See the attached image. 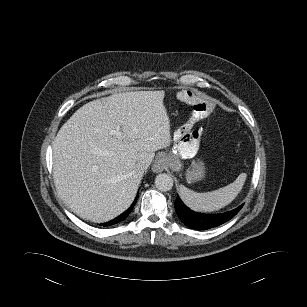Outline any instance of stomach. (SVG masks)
<instances>
[{
	"label": "stomach",
	"mask_w": 307,
	"mask_h": 307,
	"mask_svg": "<svg viewBox=\"0 0 307 307\" xmlns=\"http://www.w3.org/2000/svg\"><path fill=\"white\" fill-rule=\"evenodd\" d=\"M200 133L187 134L184 138L174 137L173 151L165 156L166 166L173 171L183 168L182 159L191 158L199 147ZM205 175V164L202 160H193L186 170L185 177L188 183L200 181Z\"/></svg>",
	"instance_id": "0dacf381"
}]
</instances>
